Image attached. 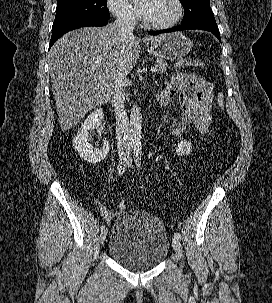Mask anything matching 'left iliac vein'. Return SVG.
Wrapping results in <instances>:
<instances>
[{
	"instance_id": "left-iliac-vein-1",
	"label": "left iliac vein",
	"mask_w": 272,
	"mask_h": 303,
	"mask_svg": "<svg viewBox=\"0 0 272 303\" xmlns=\"http://www.w3.org/2000/svg\"><path fill=\"white\" fill-rule=\"evenodd\" d=\"M129 166H131V164H129ZM172 246L175 250L177 257L181 258L182 257V246H181V242H180L179 238H177L175 236L173 237Z\"/></svg>"
}]
</instances>
